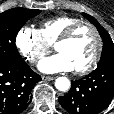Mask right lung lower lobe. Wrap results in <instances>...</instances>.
I'll return each mask as SVG.
<instances>
[{
    "label": "right lung lower lobe",
    "instance_id": "1",
    "mask_svg": "<svg viewBox=\"0 0 114 114\" xmlns=\"http://www.w3.org/2000/svg\"><path fill=\"white\" fill-rule=\"evenodd\" d=\"M40 80L25 61L0 63V114L22 113L31 102V89Z\"/></svg>",
    "mask_w": 114,
    "mask_h": 114
}]
</instances>
